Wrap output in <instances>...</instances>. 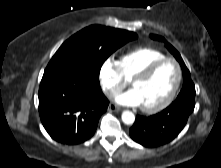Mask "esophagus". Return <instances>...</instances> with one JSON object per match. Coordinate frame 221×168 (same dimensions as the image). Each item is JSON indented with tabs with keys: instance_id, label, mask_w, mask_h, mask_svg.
Here are the masks:
<instances>
[{
	"instance_id": "obj_1",
	"label": "esophagus",
	"mask_w": 221,
	"mask_h": 168,
	"mask_svg": "<svg viewBox=\"0 0 221 168\" xmlns=\"http://www.w3.org/2000/svg\"><path fill=\"white\" fill-rule=\"evenodd\" d=\"M108 109H109L110 111H117V112L122 110V108L116 106L115 104H110L109 107H108Z\"/></svg>"
}]
</instances>
